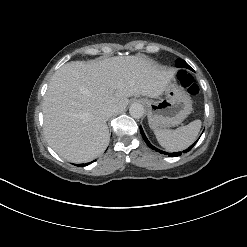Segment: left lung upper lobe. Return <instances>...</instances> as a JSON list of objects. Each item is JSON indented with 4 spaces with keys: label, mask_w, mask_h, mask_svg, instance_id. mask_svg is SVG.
<instances>
[{
    "label": "left lung upper lobe",
    "mask_w": 247,
    "mask_h": 247,
    "mask_svg": "<svg viewBox=\"0 0 247 247\" xmlns=\"http://www.w3.org/2000/svg\"><path fill=\"white\" fill-rule=\"evenodd\" d=\"M176 66L180 68L192 69L183 59H177Z\"/></svg>",
    "instance_id": "5c2ea615"
}]
</instances>
